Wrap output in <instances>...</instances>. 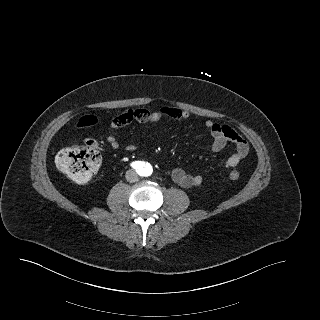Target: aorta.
Instances as JSON below:
<instances>
[{
    "label": "aorta",
    "mask_w": 320,
    "mask_h": 320,
    "mask_svg": "<svg viewBox=\"0 0 320 320\" xmlns=\"http://www.w3.org/2000/svg\"><path fill=\"white\" fill-rule=\"evenodd\" d=\"M151 173H152V170H148V171H146L145 175L149 176V175H151Z\"/></svg>",
    "instance_id": "aorta-1"
}]
</instances>
